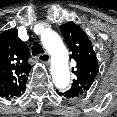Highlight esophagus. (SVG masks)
Returning <instances> with one entry per match:
<instances>
[{"label":"esophagus","mask_w":117,"mask_h":117,"mask_svg":"<svg viewBox=\"0 0 117 117\" xmlns=\"http://www.w3.org/2000/svg\"><path fill=\"white\" fill-rule=\"evenodd\" d=\"M38 59H39L41 62H43V63H45V64H48V63L50 62V55L47 54V53H45V54H40V55L38 56Z\"/></svg>","instance_id":"obj_1"}]
</instances>
